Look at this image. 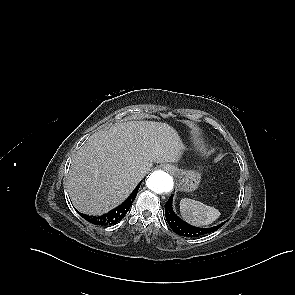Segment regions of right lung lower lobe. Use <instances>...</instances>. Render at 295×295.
Here are the masks:
<instances>
[{
	"instance_id": "1",
	"label": "right lung lower lobe",
	"mask_w": 295,
	"mask_h": 295,
	"mask_svg": "<svg viewBox=\"0 0 295 295\" xmlns=\"http://www.w3.org/2000/svg\"><path fill=\"white\" fill-rule=\"evenodd\" d=\"M140 184L141 182L137 185V187L134 189L132 194L123 204L113 209L112 211L108 212L107 214H104L101 216H89V215L82 214L80 212L78 213L82 218H84L85 220L95 225L107 226V225L116 224L119 221H121L125 217L127 212L129 211L133 201L136 198Z\"/></svg>"
}]
</instances>
